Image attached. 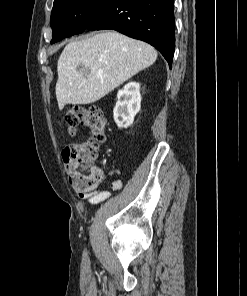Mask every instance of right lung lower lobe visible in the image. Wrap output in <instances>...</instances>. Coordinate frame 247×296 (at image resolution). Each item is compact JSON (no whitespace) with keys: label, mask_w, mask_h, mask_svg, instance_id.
Here are the masks:
<instances>
[{"label":"right lung lower lobe","mask_w":247,"mask_h":296,"mask_svg":"<svg viewBox=\"0 0 247 296\" xmlns=\"http://www.w3.org/2000/svg\"><path fill=\"white\" fill-rule=\"evenodd\" d=\"M174 0H105L99 4L86 29H113L143 40L172 66L175 49Z\"/></svg>","instance_id":"right-lung-lower-lobe-1"}]
</instances>
